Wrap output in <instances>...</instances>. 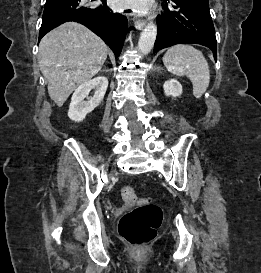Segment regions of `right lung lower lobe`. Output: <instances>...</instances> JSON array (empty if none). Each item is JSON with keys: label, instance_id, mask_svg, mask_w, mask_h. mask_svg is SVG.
<instances>
[{"label": "right lung lower lobe", "instance_id": "1", "mask_svg": "<svg viewBox=\"0 0 261 273\" xmlns=\"http://www.w3.org/2000/svg\"><path fill=\"white\" fill-rule=\"evenodd\" d=\"M101 1L96 5V0H47L39 40L60 24L75 21L101 37L118 57L127 32V18L114 13L106 6V0Z\"/></svg>", "mask_w": 261, "mask_h": 273}]
</instances>
